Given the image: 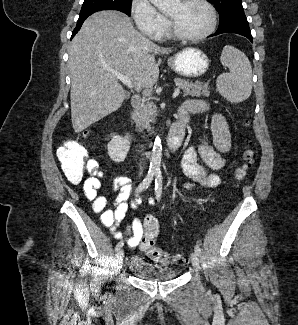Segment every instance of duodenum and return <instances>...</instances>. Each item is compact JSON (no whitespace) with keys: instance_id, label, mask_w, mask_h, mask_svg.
Wrapping results in <instances>:
<instances>
[{"instance_id":"obj_1","label":"duodenum","mask_w":298,"mask_h":325,"mask_svg":"<svg viewBox=\"0 0 298 325\" xmlns=\"http://www.w3.org/2000/svg\"><path fill=\"white\" fill-rule=\"evenodd\" d=\"M139 105L140 99L133 98V108H136ZM200 110L201 108L195 103H185L179 108L177 120L171 126L167 138V144L171 150H176L180 146L190 115L199 112ZM127 137L133 140L132 135L127 134Z\"/></svg>"}]
</instances>
